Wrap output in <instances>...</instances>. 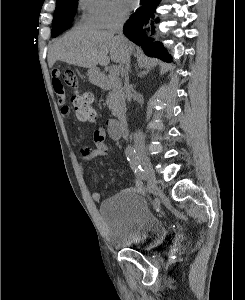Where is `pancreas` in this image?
I'll return each mask as SVG.
<instances>
[{"label": "pancreas", "instance_id": "1", "mask_svg": "<svg viewBox=\"0 0 245 300\" xmlns=\"http://www.w3.org/2000/svg\"><path fill=\"white\" fill-rule=\"evenodd\" d=\"M112 85V91L108 94L107 105L114 115L125 111V94L122 88V82L118 74L110 73L108 75Z\"/></svg>", "mask_w": 245, "mask_h": 300}]
</instances>
